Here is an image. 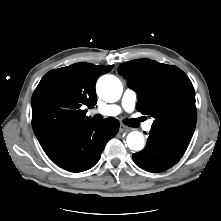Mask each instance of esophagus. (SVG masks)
<instances>
[{
    "label": "esophagus",
    "instance_id": "esophagus-1",
    "mask_svg": "<svg viewBox=\"0 0 221 221\" xmlns=\"http://www.w3.org/2000/svg\"><path fill=\"white\" fill-rule=\"evenodd\" d=\"M130 129L126 127L125 125L121 124L119 127V131L122 132H128Z\"/></svg>",
    "mask_w": 221,
    "mask_h": 221
}]
</instances>
